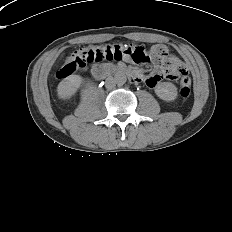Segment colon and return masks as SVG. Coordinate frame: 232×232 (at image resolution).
<instances>
[{
	"mask_svg": "<svg viewBox=\"0 0 232 232\" xmlns=\"http://www.w3.org/2000/svg\"><path fill=\"white\" fill-rule=\"evenodd\" d=\"M131 60L137 64L148 62L150 59L160 62L164 73L163 78L177 79L180 85V95L187 98L191 92V80L185 68L177 67L174 59L163 45H157L150 55L140 47H124L120 45L88 47L77 50L67 58L58 69L55 76L63 79L77 70L85 69L94 62L112 61L121 59Z\"/></svg>",
	"mask_w": 232,
	"mask_h": 232,
	"instance_id": "colon-1",
	"label": "colon"
}]
</instances>
